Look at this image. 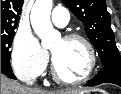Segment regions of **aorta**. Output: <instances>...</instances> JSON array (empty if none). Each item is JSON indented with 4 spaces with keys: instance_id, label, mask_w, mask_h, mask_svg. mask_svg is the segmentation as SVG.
<instances>
[{
    "instance_id": "1",
    "label": "aorta",
    "mask_w": 121,
    "mask_h": 94,
    "mask_svg": "<svg viewBox=\"0 0 121 94\" xmlns=\"http://www.w3.org/2000/svg\"><path fill=\"white\" fill-rule=\"evenodd\" d=\"M52 5V0H36L31 10V25L41 39L43 48L51 47L54 40L60 36L50 20Z\"/></svg>"
}]
</instances>
